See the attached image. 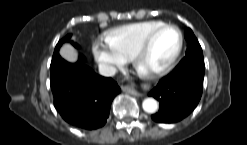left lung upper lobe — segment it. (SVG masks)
Returning <instances> with one entry per match:
<instances>
[{
    "mask_svg": "<svg viewBox=\"0 0 247 145\" xmlns=\"http://www.w3.org/2000/svg\"><path fill=\"white\" fill-rule=\"evenodd\" d=\"M185 39L187 40V50L186 55L190 54H202L201 46L191 31V29L186 28L185 29Z\"/></svg>",
    "mask_w": 247,
    "mask_h": 145,
    "instance_id": "obj_1",
    "label": "left lung upper lobe"
}]
</instances>
